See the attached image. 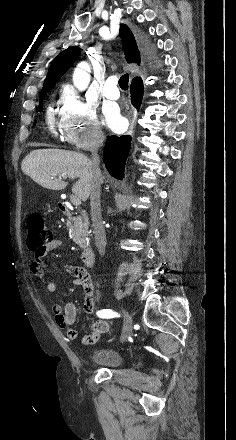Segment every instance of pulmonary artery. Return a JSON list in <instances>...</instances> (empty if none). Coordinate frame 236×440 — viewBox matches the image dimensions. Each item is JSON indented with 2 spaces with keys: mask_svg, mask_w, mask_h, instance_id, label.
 <instances>
[{
  "mask_svg": "<svg viewBox=\"0 0 236 440\" xmlns=\"http://www.w3.org/2000/svg\"><path fill=\"white\" fill-rule=\"evenodd\" d=\"M103 94L106 98L116 100L119 98V90L117 87V79L114 76L107 78L103 88Z\"/></svg>",
  "mask_w": 236,
  "mask_h": 440,
  "instance_id": "1",
  "label": "pulmonary artery"
}]
</instances>
